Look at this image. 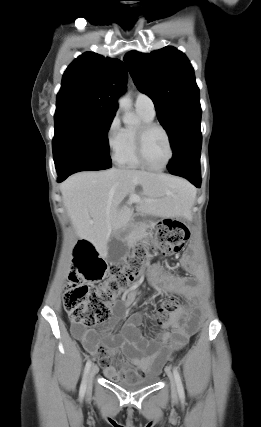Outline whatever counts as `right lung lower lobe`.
Instances as JSON below:
<instances>
[{
    "instance_id": "right-lung-lower-lobe-1",
    "label": "right lung lower lobe",
    "mask_w": 261,
    "mask_h": 427,
    "mask_svg": "<svg viewBox=\"0 0 261 427\" xmlns=\"http://www.w3.org/2000/svg\"><path fill=\"white\" fill-rule=\"evenodd\" d=\"M110 167L111 165H96L77 161L65 162L56 167L57 173L59 175L58 182L64 181L68 176L79 171L104 170Z\"/></svg>"
}]
</instances>
